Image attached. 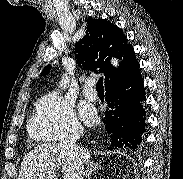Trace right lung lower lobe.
I'll return each mask as SVG.
<instances>
[{
  "instance_id": "right-lung-lower-lobe-1",
  "label": "right lung lower lobe",
  "mask_w": 183,
  "mask_h": 179,
  "mask_svg": "<svg viewBox=\"0 0 183 179\" xmlns=\"http://www.w3.org/2000/svg\"><path fill=\"white\" fill-rule=\"evenodd\" d=\"M110 110L104 118L110 141L108 150L121 148L134 153L141 144L145 130V100L139 64L127 75L106 85Z\"/></svg>"
}]
</instances>
